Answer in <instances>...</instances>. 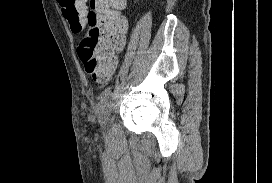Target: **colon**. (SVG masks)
<instances>
[{"instance_id":"colon-1","label":"colon","mask_w":272,"mask_h":183,"mask_svg":"<svg viewBox=\"0 0 272 183\" xmlns=\"http://www.w3.org/2000/svg\"><path fill=\"white\" fill-rule=\"evenodd\" d=\"M74 33L84 32L78 55L85 70L104 79L115 68L124 47L127 20L121 15L125 0H58Z\"/></svg>"}]
</instances>
